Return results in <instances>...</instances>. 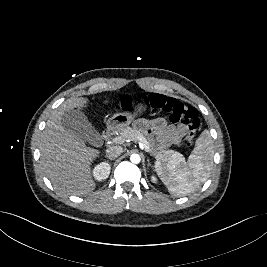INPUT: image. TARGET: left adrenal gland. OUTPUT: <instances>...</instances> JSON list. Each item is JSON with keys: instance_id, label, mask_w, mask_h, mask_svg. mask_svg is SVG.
<instances>
[{"instance_id": "left-adrenal-gland-1", "label": "left adrenal gland", "mask_w": 267, "mask_h": 267, "mask_svg": "<svg viewBox=\"0 0 267 267\" xmlns=\"http://www.w3.org/2000/svg\"><path fill=\"white\" fill-rule=\"evenodd\" d=\"M147 162H148V167H151V163H150V160L149 159H147Z\"/></svg>"}]
</instances>
